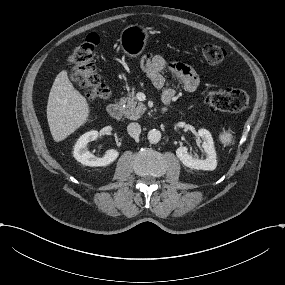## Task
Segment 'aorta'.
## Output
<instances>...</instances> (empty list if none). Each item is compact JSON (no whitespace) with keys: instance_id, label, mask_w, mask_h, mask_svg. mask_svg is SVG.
<instances>
[{"instance_id":"762f6f07","label":"aorta","mask_w":285,"mask_h":285,"mask_svg":"<svg viewBox=\"0 0 285 285\" xmlns=\"http://www.w3.org/2000/svg\"><path fill=\"white\" fill-rule=\"evenodd\" d=\"M148 140L152 144H156L161 140V133L157 129H152L148 132Z\"/></svg>"}]
</instances>
